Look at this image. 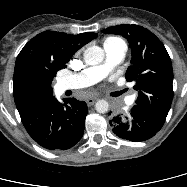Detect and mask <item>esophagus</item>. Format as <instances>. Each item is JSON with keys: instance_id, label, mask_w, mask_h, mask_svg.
<instances>
[{"instance_id": "34e87169", "label": "esophagus", "mask_w": 187, "mask_h": 187, "mask_svg": "<svg viewBox=\"0 0 187 187\" xmlns=\"http://www.w3.org/2000/svg\"><path fill=\"white\" fill-rule=\"evenodd\" d=\"M96 100H97L96 98H88L86 100V103H87L88 106H91L96 102Z\"/></svg>"}]
</instances>
